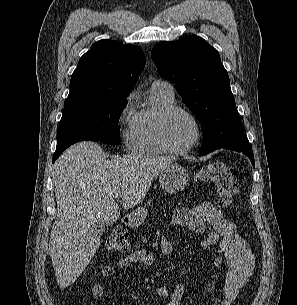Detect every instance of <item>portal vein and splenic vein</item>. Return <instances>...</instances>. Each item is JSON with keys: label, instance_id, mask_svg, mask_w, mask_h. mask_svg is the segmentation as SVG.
Here are the masks:
<instances>
[{"label": "portal vein and splenic vein", "instance_id": "1", "mask_svg": "<svg viewBox=\"0 0 297 305\" xmlns=\"http://www.w3.org/2000/svg\"><path fill=\"white\" fill-rule=\"evenodd\" d=\"M114 197L117 198V199H119V198L122 197V195H121L120 193H116Z\"/></svg>", "mask_w": 297, "mask_h": 305}]
</instances>
